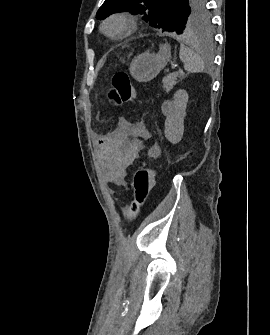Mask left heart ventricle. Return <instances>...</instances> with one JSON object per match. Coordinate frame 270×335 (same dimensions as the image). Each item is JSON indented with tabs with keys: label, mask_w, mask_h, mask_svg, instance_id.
I'll return each instance as SVG.
<instances>
[{
	"label": "left heart ventricle",
	"mask_w": 270,
	"mask_h": 335,
	"mask_svg": "<svg viewBox=\"0 0 270 335\" xmlns=\"http://www.w3.org/2000/svg\"><path fill=\"white\" fill-rule=\"evenodd\" d=\"M122 27L119 24H112L109 27V31L113 34H117L119 32H121Z\"/></svg>",
	"instance_id": "obj_1"
}]
</instances>
